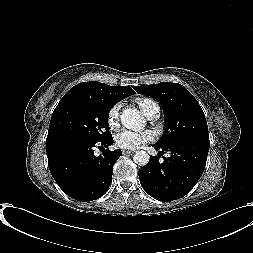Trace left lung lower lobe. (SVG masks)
Returning <instances> with one entry per match:
<instances>
[{
	"mask_svg": "<svg viewBox=\"0 0 253 253\" xmlns=\"http://www.w3.org/2000/svg\"><path fill=\"white\" fill-rule=\"evenodd\" d=\"M207 144L184 140L165 147L153 145L159 153L170 152V157L159 161L150 156V162L138 174L142 188L151 197L168 202L185 196L201 177L209 151Z\"/></svg>",
	"mask_w": 253,
	"mask_h": 253,
	"instance_id": "0a47b994",
	"label": "left lung lower lobe"
}]
</instances>
